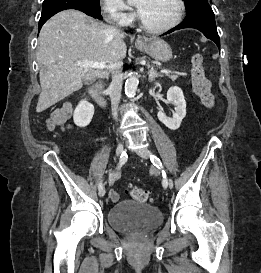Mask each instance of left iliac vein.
<instances>
[{
    "instance_id": "1",
    "label": "left iliac vein",
    "mask_w": 261,
    "mask_h": 273,
    "mask_svg": "<svg viewBox=\"0 0 261 273\" xmlns=\"http://www.w3.org/2000/svg\"><path fill=\"white\" fill-rule=\"evenodd\" d=\"M136 153L145 159H148L151 155V152L147 148L138 149L136 150ZM168 185L170 186V182L168 183Z\"/></svg>"
}]
</instances>
